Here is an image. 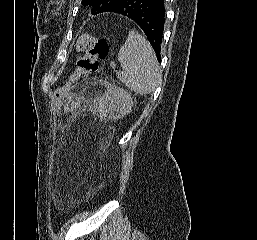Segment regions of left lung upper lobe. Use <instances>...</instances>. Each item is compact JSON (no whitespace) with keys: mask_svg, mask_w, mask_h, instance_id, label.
Returning <instances> with one entry per match:
<instances>
[{"mask_svg":"<svg viewBox=\"0 0 257 240\" xmlns=\"http://www.w3.org/2000/svg\"><path fill=\"white\" fill-rule=\"evenodd\" d=\"M121 0H84L83 5L91 7V13L97 15L106 12L108 9L117 5Z\"/></svg>","mask_w":257,"mask_h":240,"instance_id":"left-lung-upper-lobe-1","label":"left lung upper lobe"}]
</instances>
